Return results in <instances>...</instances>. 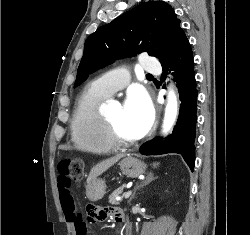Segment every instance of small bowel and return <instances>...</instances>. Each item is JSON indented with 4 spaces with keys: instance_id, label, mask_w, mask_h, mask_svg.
Returning <instances> with one entry per match:
<instances>
[{
    "instance_id": "c3829d8e",
    "label": "small bowel",
    "mask_w": 250,
    "mask_h": 235,
    "mask_svg": "<svg viewBox=\"0 0 250 235\" xmlns=\"http://www.w3.org/2000/svg\"><path fill=\"white\" fill-rule=\"evenodd\" d=\"M59 188V198L60 203L62 207L63 214L68 222H72L74 224L75 230H76V223L82 222V224L87 227L86 222H84L76 213L75 206H74V200L72 197V194L70 192V189H65L60 186ZM94 207H90L89 214L91 216L90 222H101L105 221L107 219H113L116 222H119L121 212L114 207H106V208H100V209H93Z\"/></svg>"
}]
</instances>
